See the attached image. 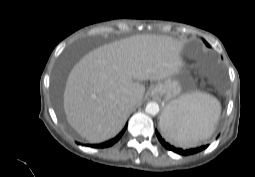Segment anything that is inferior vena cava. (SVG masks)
I'll return each mask as SVG.
<instances>
[{"label": "inferior vena cava", "mask_w": 255, "mask_h": 177, "mask_svg": "<svg viewBox=\"0 0 255 177\" xmlns=\"http://www.w3.org/2000/svg\"><path fill=\"white\" fill-rule=\"evenodd\" d=\"M128 102H129L130 105H133V104H134V99H133V98H130V99L128 100Z\"/></svg>", "instance_id": "1"}]
</instances>
